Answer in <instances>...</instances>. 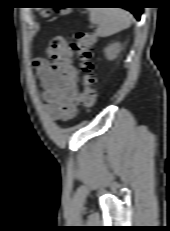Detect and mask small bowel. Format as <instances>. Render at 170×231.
I'll return each instance as SVG.
<instances>
[{"mask_svg":"<svg viewBox=\"0 0 170 231\" xmlns=\"http://www.w3.org/2000/svg\"><path fill=\"white\" fill-rule=\"evenodd\" d=\"M71 56L70 42L59 36L46 46L45 57L34 62L43 86L46 110L59 121L74 118L80 100L78 73Z\"/></svg>","mask_w":170,"mask_h":231,"instance_id":"obj_1","label":"small bowel"}]
</instances>
